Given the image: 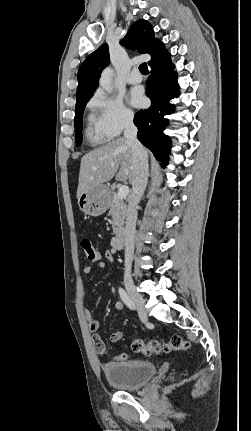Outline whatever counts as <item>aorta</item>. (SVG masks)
<instances>
[{
  "mask_svg": "<svg viewBox=\"0 0 251 431\" xmlns=\"http://www.w3.org/2000/svg\"><path fill=\"white\" fill-rule=\"evenodd\" d=\"M113 76L114 70L111 67L105 68L101 74L99 84L107 93L113 91Z\"/></svg>",
  "mask_w": 251,
  "mask_h": 431,
  "instance_id": "762f6f07",
  "label": "aorta"
}]
</instances>
